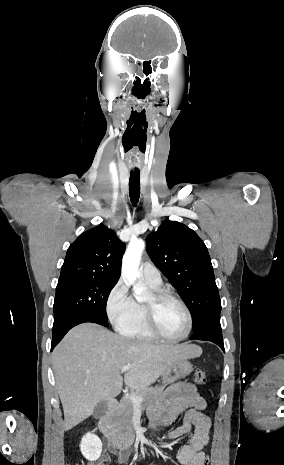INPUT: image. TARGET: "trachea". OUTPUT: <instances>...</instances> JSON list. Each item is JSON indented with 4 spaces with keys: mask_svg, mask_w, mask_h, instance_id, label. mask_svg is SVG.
<instances>
[{
    "mask_svg": "<svg viewBox=\"0 0 284 465\" xmlns=\"http://www.w3.org/2000/svg\"><path fill=\"white\" fill-rule=\"evenodd\" d=\"M130 200L133 205H136L140 196V171L131 170L129 179Z\"/></svg>",
    "mask_w": 284,
    "mask_h": 465,
    "instance_id": "1",
    "label": "trachea"
}]
</instances>
